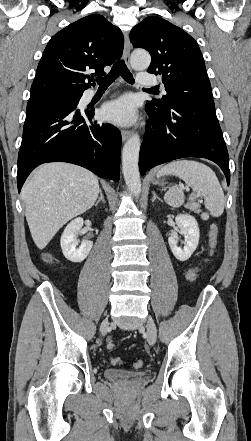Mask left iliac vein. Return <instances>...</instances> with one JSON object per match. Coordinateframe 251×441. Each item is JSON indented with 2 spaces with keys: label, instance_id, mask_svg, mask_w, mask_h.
<instances>
[{
  "label": "left iliac vein",
  "instance_id": "obj_1",
  "mask_svg": "<svg viewBox=\"0 0 251 441\" xmlns=\"http://www.w3.org/2000/svg\"><path fill=\"white\" fill-rule=\"evenodd\" d=\"M146 334H147V342L150 345H154L156 343L157 338V329L152 317H148L146 324Z\"/></svg>",
  "mask_w": 251,
  "mask_h": 441
}]
</instances>
